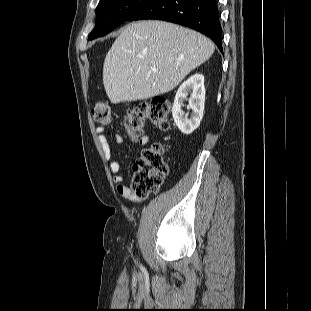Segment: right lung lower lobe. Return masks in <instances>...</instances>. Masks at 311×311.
Returning <instances> with one entry per match:
<instances>
[{"instance_id": "98d812e1", "label": "right lung lower lobe", "mask_w": 311, "mask_h": 311, "mask_svg": "<svg viewBox=\"0 0 311 311\" xmlns=\"http://www.w3.org/2000/svg\"><path fill=\"white\" fill-rule=\"evenodd\" d=\"M156 19L197 30L222 49V30L216 0H154L134 13L128 21Z\"/></svg>"}]
</instances>
